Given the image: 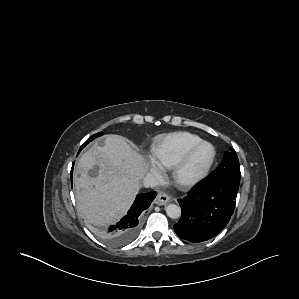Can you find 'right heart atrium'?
Returning a JSON list of instances; mask_svg holds the SVG:
<instances>
[{
  "label": "right heart atrium",
  "mask_w": 299,
  "mask_h": 299,
  "mask_svg": "<svg viewBox=\"0 0 299 299\" xmlns=\"http://www.w3.org/2000/svg\"><path fill=\"white\" fill-rule=\"evenodd\" d=\"M150 171L158 179L162 178V176H163V169H162V167L156 161H151V163H150Z\"/></svg>",
  "instance_id": "obj_1"
}]
</instances>
